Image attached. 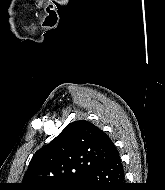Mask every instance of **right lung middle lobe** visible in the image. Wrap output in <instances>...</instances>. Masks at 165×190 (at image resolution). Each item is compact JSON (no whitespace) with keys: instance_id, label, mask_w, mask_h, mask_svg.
Returning a JSON list of instances; mask_svg holds the SVG:
<instances>
[{"instance_id":"1","label":"right lung middle lobe","mask_w":165,"mask_h":190,"mask_svg":"<svg viewBox=\"0 0 165 190\" xmlns=\"http://www.w3.org/2000/svg\"><path fill=\"white\" fill-rule=\"evenodd\" d=\"M81 187V180L76 183L69 184L63 187L54 188L53 190H79Z\"/></svg>"}]
</instances>
